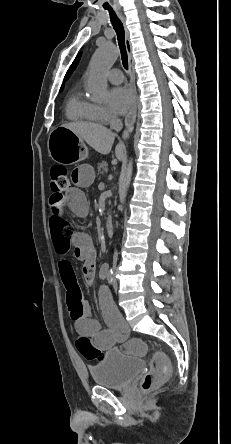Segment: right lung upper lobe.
<instances>
[{
	"mask_svg": "<svg viewBox=\"0 0 231 444\" xmlns=\"http://www.w3.org/2000/svg\"><path fill=\"white\" fill-rule=\"evenodd\" d=\"M81 57V53L75 58V60L73 61L72 65L70 66V68L68 69L64 80H67L69 78V76L72 74V72L75 70L76 66L78 65V62L80 60ZM63 87V86H62Z\"/></svg>",
	"mask_w": 231,
	"mask_h": 444,
	"instance_id": "right-lung-upper-lobe-1",
	"label": "right lung upper lobe"
}]
</instances>
